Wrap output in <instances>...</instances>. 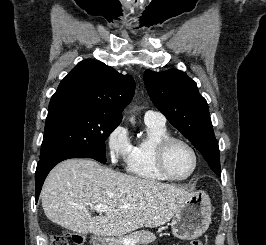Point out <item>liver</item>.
<instances>
[{"instance_id": "liver-1", "label": "liver", "mask_w": 266, "mask_h": 245, "mask_svg": "<svg viewBox=\"0 0 266 245\" xmlns=\"http://www.w3.org/2000/svg\"><path fill=\"white\" fill-rule=\"evenodd\" d=\"M193 195L179 185L122 175L93 159H68L49 173L41 201L47 219L60 227L122 237L141 227L165 225ZM95 205H107L104 217H91ZM126 205L132 209H123Z\"/></svg>"}]
</instances>
